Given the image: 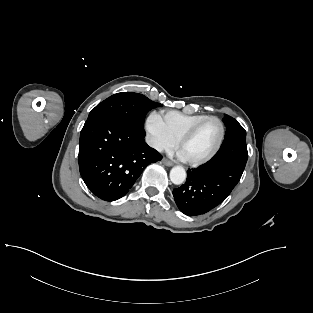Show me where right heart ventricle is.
Returning a JSON list of instances; mask_svg holds the SVG:
<instances>
[{
    "label": "right heart ventricle",
    "instance_id": "e07e8e85",
    "mask_svg": "<svg viewBox=\"0 0 313 313\" xmlns=\"http://www.w3.org/2000/svg\"><path fill=\"white\" fill-rule=\"evenodd\" d=\"M158 115L164 129L174 141H177L191 126L207 117V115H189L178 111H166Z\"/></svg>",
    "mask_w": 313,
    "mask_h": 313
}]
</instances>
